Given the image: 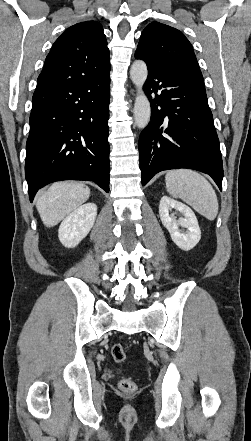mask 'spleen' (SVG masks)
<instances>
[{
    "label": "spleen",
    "instance_id": "obj_1",
    "mask_svg": "<svg viewBox=\"0 0 251 441\" xmlns=\"http://www.w3.org/2000/svg\"><path fill=\"white\" fill-rule=\"evenodd\" d=\"M167 192L192 206L208 220H214L218 213V200L211 184L196 171L177 169L165 176Z\"/></svg>",
    "mask_w": 251,
    "mask_h": 441
}]
</instances>
